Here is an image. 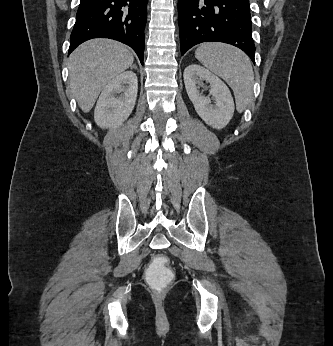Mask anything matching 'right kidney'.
I'll return each mask as SVG.
<instances>
[{"mask_svg": "<svg viewBox=\"0 0 333 346\" xmlns=\"http://www.w3.org/2000/svg\"><path fill=\"white\" fill-rule=\"evenodd\" d=\"M138 91L137 76L125 71L103 89L94 111V120L101 128L120 126L132 113Z\"/></svg>", "mask_w": 333, "mask_h": 346, "instance_id": "1", "label": "right kidney"}]
</instances>
